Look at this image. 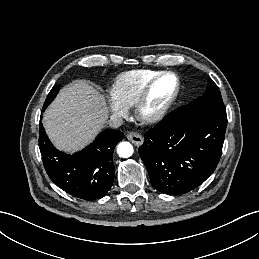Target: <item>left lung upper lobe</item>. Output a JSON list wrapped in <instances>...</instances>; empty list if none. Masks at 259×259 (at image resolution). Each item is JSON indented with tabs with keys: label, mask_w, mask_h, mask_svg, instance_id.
Returning a JSON list of instances; mask_svg holds the SVG:
<instances>
[{
	"label": "left lung upper lobe",
	"mask_w": 259,
	"mask_h": 259,
	"mask_svg": "<svg viewBox=\"0 0 259 259\" xmlns=\"http://www.w3.org/2000/svg\"><path fill=\"white\" fill-rule=\"evenodd\" d=\"M196 107H213V108H224V103L219 91V88L212 79H208V87L203 96L198 97L196 100L174 110L169 115H174L178 112L188 110Z\"/></svg>",
	"instance_id": "left-lung-upper-lobe-1"
}]
</instances>
